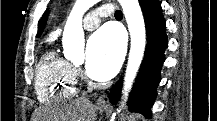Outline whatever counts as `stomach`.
<instances>
[{
	"mask_svg": "<svg viewBox=\"0 0 217 121\" xmlns=\"http://www.w3.org/2000/svg\"><path fill=\"white\" fill-rule=\"evenodd\" d=\"M98 110H100L101 112H104L106 109L102 107H98Z\"/></svg>",
	"mask_w": 217,
	"mask_h": 121,
	"instance_id": "0dacf381",
	"label": "stomach"
}]
</instances>
